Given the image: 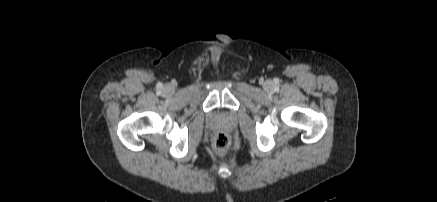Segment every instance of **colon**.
<instances>
[{
  "instance_id": "colon-1",
  "label": "colon",
  "mask_w": 437,
  "mask_h": 202,
  "mask_svg": "<svg viewBox=\"0 0 437 202\" xmlns=\"http://www.w3.org/2000/svg\"><path fill=\"white\" fill-rule=\"evenodd\" d=\"M229 145L230 139L225 133L220 132L216 134L213 141V147L216 152L224 154L228 150Z\"/></svg>"
}]
</instances>
